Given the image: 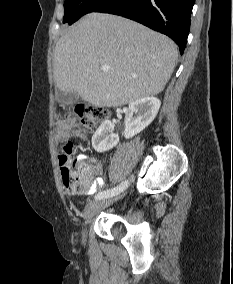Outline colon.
<instances>
[{"mask_svg":"<svg viewBox=\"0 0 233 284\" xmlns=\"http://www.w3.org/2000/svg\"><path fill=\"white\" fill-rule=\"evenodd\" d=\"M74 111L81 124L86 128H95L109 116L107 109L98 106L78 104ZM58 159L65 187L74 193H85L91 185V178L82 171L76 159H73L72 144L69 141H66Z\"/></svg>","mask_w":233,"mask_h":284,"instance_id":"obj_1","label":"colon"}]
</instances>
